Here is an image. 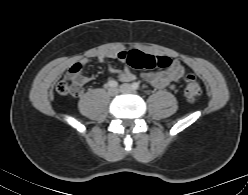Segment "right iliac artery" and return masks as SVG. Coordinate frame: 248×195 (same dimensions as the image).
<instances>
[{
  "label": "right iliac artery",
  "mask_w": 248,
  "mask_h": 195,
  "mask_svg": "<svg viewBox=\"0 0 248 195\" xmlns=\"http://www.w3.org/2000/svg\"><path fill=\"white\" fill-rule=\"evenodd\" d=\"M107 85L109 87H117L118 83L115 80H110Z\"/></svg>",
  "instance_id": "right-iliac-artery-1"
}]
</instances>
